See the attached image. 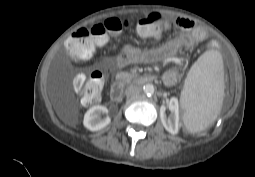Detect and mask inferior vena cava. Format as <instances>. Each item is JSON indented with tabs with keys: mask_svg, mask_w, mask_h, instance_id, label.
<instances>
[{
	"mask_svg": "<svg viewBox=\"0 0 255 177\" xmlns=\"http://www.w3.org/2000/svg\"><path fill=\"white\" fill-rule=\"evenodd\" d=\"M140 88L137 86H129L125 90V94L127 97L136 96L140 93Z\"/></svg>",
	"mask_w": 255,
	"mask_h": 177,
	"instance_id": "obj_1",
	"label": "inferior vena cava"
}]
</instances>
